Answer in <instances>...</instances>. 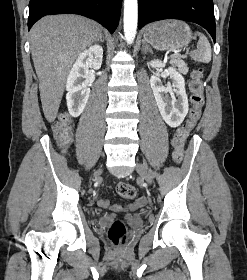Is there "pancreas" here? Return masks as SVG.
I'll use <instances>...</instances> for the list:
<instances>
[{
    "label": "pancreas",
    "instance_id": "pancreas-1",
    "mask_svg": "<svg viewBox=\"0 0 247 280\" xmlns=\"http://www.w3.org/2000/svg\"><path fill=\"white\" fill-rule=\"evenodd\" d=\"M170 63L175 65L176 67H178V70L180 73H182L184 75L188 73L189 68L187 67V65L185 64V62L183 60L175 58V59H172L170 61Z\"/></svg>",
    "mask_w": 247,
    "mask_h": 280
}]
</instances>
